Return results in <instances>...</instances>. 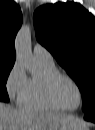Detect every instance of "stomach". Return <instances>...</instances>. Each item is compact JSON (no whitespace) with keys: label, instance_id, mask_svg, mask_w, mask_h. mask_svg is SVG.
Instances as JSON below:
<instances>
[{"label":"stomach","instance_id":"1","mask_svg":"<svg viewBox=\"0 0 95 130\" xmlns=\"http://www.w3.org/2000/svg\"><path fill=\"white\" fill-rule=\"evenodd\" d=\"M84 124L80 122L78 119L66 122L58 128V130H87L84 128Z\"/></svg>","mask_w":95,"mask_h":130}]
</instances>
